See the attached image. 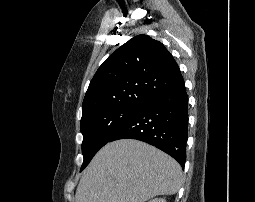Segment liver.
<instances>
[{
  "label": "liver",
  "instance_id": "6515ba94",
  "mask_svg": "<svg viewBox=\"0 0 255 202\" xmlns=\"http://www.w3.org/2000/svg\"><path fill=\"white\" fill-rule=\"evenodd\" d=\"M182 169L161 150L134 139L105 145L84 170L75 202H145L174 195Z\"/></svg>",
  "mask_w": 255,
  "mask_h": 202
}]
</instances>
